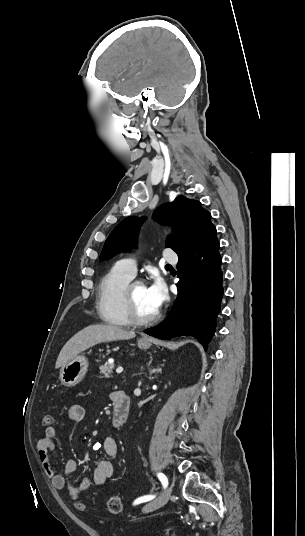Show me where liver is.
I'll return each mask as SVG.
<instances>
[{"mask_svg": "<svg viewBox=\"0 0 305 536\" xmlns=\"http://www.w3.org/2000/svg\"><path fill=\"white\" fill-rule=\"evenodd\" d=\"M135 338V332H127L120 326H88L78 334H75L67 344L63 346L55 364V368H61L64 364H68L74 360L80 352H85L88 348H92L95 344L102 342H116V340H131Z\"/></svg>", "mask_w": 305, "mask_h": 536, "instance_id": "6515ba94", "label": "liver"}]
</instances>
